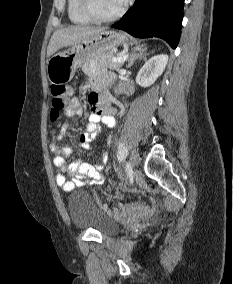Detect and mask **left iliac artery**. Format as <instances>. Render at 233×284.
Listing matches in <instances>:
<instances>
[{"mask_svg": "<svg viewBox=\"0 0 233 284\" xmlns=\"http://www.w3.org/2000/svg\"><path fill=\"white\" fill-rule=\"evenodd\" d=\"M128 155V149L123 143L118 144V154L117 158L119 161H123Z\"/></svg>", "mask_w": 233, "mask_h": 284, "instance_id": "obj_1", "label": "left iliac artery"}]
</instances>
